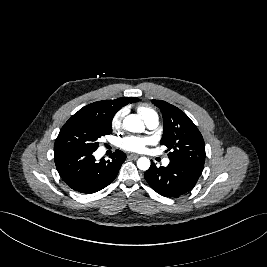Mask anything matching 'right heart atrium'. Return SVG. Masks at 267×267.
<instances>
[{"instance_id":"right-heart-atrium-1","label":"right heart atrium","mask_w":267,"mask_h":267,"mask_svg":"<svg viewBox=\"0 0 267 267\" xmlns=\"http://www.w3.org/2000/svg\"><path fill=\"white\" fill-rule=\"evenodd\" d=\"M125 114L126 109L123 108L116 112V114L113 116L111 124L114 129H119L121 127Z\"/></svg>"}]
</instances>
